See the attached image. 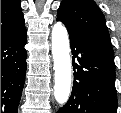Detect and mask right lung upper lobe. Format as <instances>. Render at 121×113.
<instances>
[{"instance_id": "1", "label": "right lung upper lobe", "mask_w": 121, "mask_h": 113, "mask_svg": "<svg viewBox=\"0 0 121 113\" xmlns=\"http://www.w3.org/2000/svg\"><path fill=\"white\" fill-rule=\"evenodd\" d=\"M25 26L20 0H1V39Z\"/></svg>"}]
</instances>
